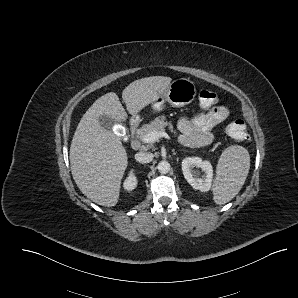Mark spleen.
I'll use <instances>...</instances> for the list:
<instances>
[{
  "instance_id": "1",
  "label": "spleen",
  "mask_w": 298,
  "mask_h": 298,
  "mask_svg": "<svg viewBox=\"0 0 298 298\" xmlns=\"http://www.w3.org/2000/svg\"><path fill=\"white\" fill-rule=\"evenodd\" d=\"M250 168V157L245 148L230 146L219 159L214 185V200L225 204L241 189Z\"/></svg>"
}]
</instances>
